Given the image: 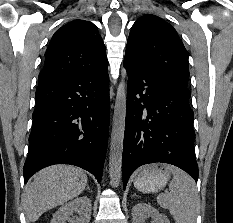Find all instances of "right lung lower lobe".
<instances>
[{"label":"right lung lower lobe","instance_id":"1","mask_svg":"<svg viewBox=\"0 0 233 223\" xmlns=\"http://www.w3.org/2000/svg\"><path fill=\"white\" fill-rule=\"evenodd\" d=\"M109 131L107 67L38 84L25 182L53 164H72L101 181Z\"/></svg>","mask_w":233,"mask_h":223}]
</instances>
